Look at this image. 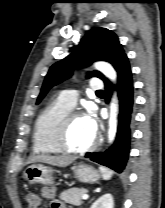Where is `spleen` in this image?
Listing matches in <instances>:
<instances>
[{"mask_svg": "<svg viewBox=\"0 0 165 208\" xmlns=\"http://www.w3.org/2000/svg\"><path fill=\"white\" fill-rule=\"evenodd\" d=\"M100 172L104 180H109L113 176V171L103 166L100 167Z\"/></svg>", "mask_w": 165, "mask_h": 208, "instance_id": "1", "label": "spleen"}]
</instances>
